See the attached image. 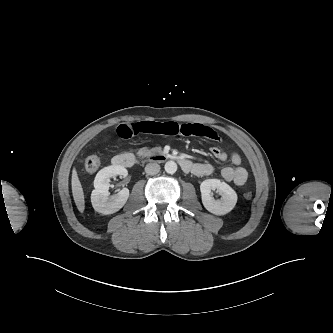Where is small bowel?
Listing matches in <instances>:
<instances>
[{
    "label": "small bowel",
    "instance_id": "1",
    "mask_svg": "<svg viewBox=\"0 0 333 333\" xmlns=\"http://www.w3.org/2000/svg\"><path fill=\"white\" fill-rule=\"evenodd\" d=\"M157 134V135H184L204 137L213 141H218V134L210 127L197 123H158L153 121H143L138 123H125L117 128V134L122 139H130L138 134ZM210 153L214 158L220 161L230 160L232 166H226L221 169V177L228 182H234L238 186L245 184L248 178L247 170L241 166V158L237 153H227L218 148L211 147ZM196 176H209L214 173V167L208 163H196L191 171Z\"/></svg>",
    "mask_w": 333,
    "mask_h": 333
}]
</instances>
